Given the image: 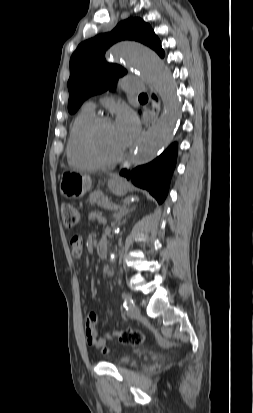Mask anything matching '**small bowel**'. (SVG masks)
I'll use <instances>...</instances> for the list:
<instances>
[{"label": "small bowel", "instance_id": "c3829d8e", "mask_svg": "<svg viewBox=\"0 0 253 413\" xmlns=\"http://www.w3.org/2000/svg\"><path fill=\"white\" fill-rule=\"evenodd\" d=\"M72 255L74 257H79L82 252V240L79 236H74L71 239ZM98 322V316L95 313H90L86 319L85 334L88 344L102 348L106 352V343L103 339L99 338L97 335L96 325Z\"/></svg>", "mask_w": 253, "mask_h": 413}]
</instances>
